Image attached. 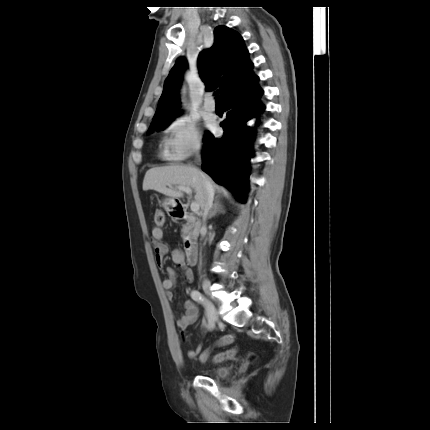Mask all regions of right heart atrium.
<instances>
[{"instance_id":"right-heart-atrium-1","label":"right heart atrium","mask_w":430,"mask_h":430,"mask_svg":"<svg viewBox=\"0 0 430 430\" xmlns=\"http://www.w3.org/2000/svg\"><path fill=\"white\" fill-rule=\"evenodd\" d=\"M201 144L196 122L188 116H179L165 128L162 153L169 160L180 161L198 152Z\"/></svg>"}]
</instances>
